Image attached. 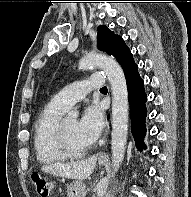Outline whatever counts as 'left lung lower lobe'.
Listing matches in <instances>:
<instances>
[{
	"instance_id": "obj_1",
	"label": "left lung lower lobe",
	"mask_w": 191,
	"mask_h": 197,
	"mask_svg": "<svg viewBox=\"0 0 191 197\" xmlns=\"http://www.w3.org/2000/svg\"><path fill=\"white\" fill-rule=\"evenodd\" d=\"M124 73L126 76L131 108L132 133L137 149L142 151V149H145L143 137L146 134L145 118L147 115L145 107L147 96L144 91V82L138 74L137 66L124 71Z\"/></svg>"
}]
</instances>
